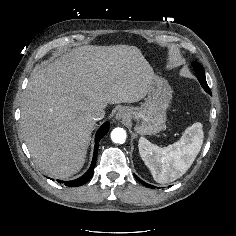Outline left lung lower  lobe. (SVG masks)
Returning a JSON list of instances; mask_svg holds the SVG:
<instances>
[{
  "instance_id": "1",
  "label": "left lung lower lobe",
  "mask_w": 236,
  "mask_h": 236,
  "mask_svg": "<svg viewBox=\"0 0 236 236\" xmlns=\"http://www.w3.org/2000/svg\"><path fill=\"white\" fill-rule=\"evenodd\" d=\"M134 176H135V178H136L140 183H142L143 185H145V186H147V187H149V188H154V186L145 183L144 181H142L141 179H139L136 175H134Z\"/></svg>"
}]
</instances>
